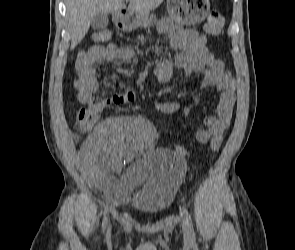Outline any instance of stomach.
Returning a JSON list of instances; mask_svg holds the SVG:
<instances>
[{
	"instance_id": "stomach-1",
	"label": "stomach",
	"mask_w": 295,
	"mask_h": 250,
	"mask_svg": "<svg viewBox=\"0 0 295 250\" xmlns=\"http://www.w3.org/2000/svg\"><path fill=\"white\" fill-rule=\"evenodd\" d=\"M169 16L179 24L195 25L201 23L210 11L209 0H167ZM157 19L150 12H131L118 16V26L124 31L137 27H151Z\"/></svg>"
}]
</instances>
